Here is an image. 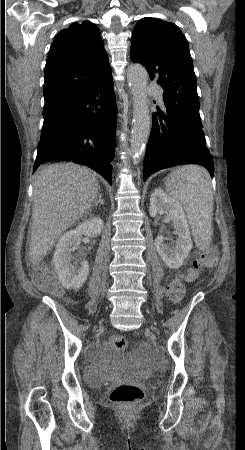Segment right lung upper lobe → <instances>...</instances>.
Segmentation results:
<instances>
[{"label": "right lung upper lobe", "mask_w": 245, "mask_h": 450, "mask_svg": "<svg viewBox=\"0 0 245 450\" xmlns=\"http://www.w3.org/2000/svg\"><path fill=\"white\" fill-rule=\"evenodd\" d=\"M110 74L98 27L90 21L74 23L55 37L49 50L43 113L60 107Z\"/></svg>", "instance_id": "1"}]
</instances>
